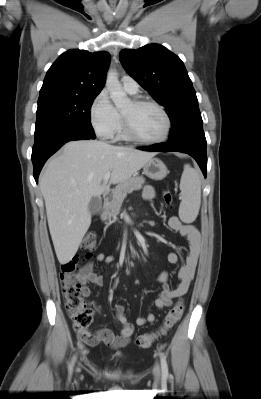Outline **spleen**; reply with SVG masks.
Returning <instances> with one entry per match:
<instances>
[{
    "label": "spleen",
    "mask_w": 261,
    "mask_h": 399,
    "mask_svg": "<svg viewBox=\"0 0 261 399\" xmlns=\"http://www.w3.org/2000/svg\"><path fill=\"white\" fill-rule=\"evenodd\" d=\"M180 190L179 217L185 223H192L199 213L201 204V176L190 165L184 166Z\"/></svg>",
    "instance_id": "1"
}]
</instances>
